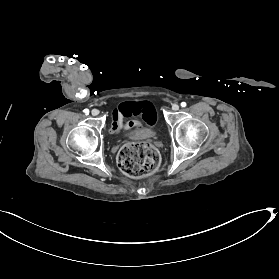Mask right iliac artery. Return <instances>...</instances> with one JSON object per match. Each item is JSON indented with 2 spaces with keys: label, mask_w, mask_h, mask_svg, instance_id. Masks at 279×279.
Returning <instances> with one entry per match:
<instances>
[{
  "label": "right iliac artery",
  "mask_w": 279,
  "mask_h": 279,
  "mask_svg": "<svg viewBox=\"0 0 279 279\" xmlns=\"http://www.w3.org/2000/svg\"><path fill=\"white\" fill-rule=\"evenodd\" d=\"M84 113H85L86 115H88V114H89V110H88V109H84Z\"/></svg>",
  "instance_id": "obj_1"
}]
</instances>
